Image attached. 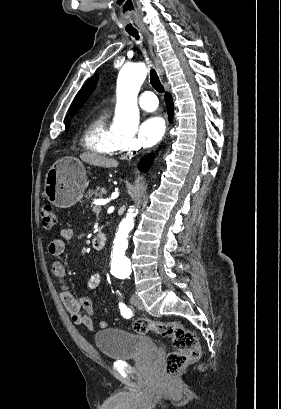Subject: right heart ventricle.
<instances>
[{"instance_id":"obj_1","label":"right heart ventricle","mask_w":281,"mask_h":409,"mask_svg":"<svg viewBox=\"0 0 281 409\" xmlns=\"http://www.w3.org/2000/svg\"><path fill=\"white\" fill-rule=\"evenodd\" d=\"M87 140L89 150L102 158L123 148L122 140L109 125L106 114H99L91 120L87 129ZM125 147L128 148L127 145Z\"/></svg>"}]
</instances>
